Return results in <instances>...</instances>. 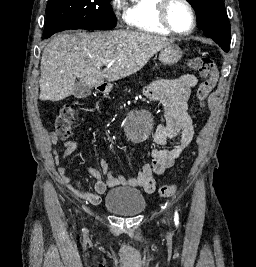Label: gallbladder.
<instances>
[{
    "label": "gallbladder",
    "instance_id": "obj_1",
    "mask_svg": "<svg viewBox=\"0 0 256 267\" xmlns=\"http://www.w3.org/2000/svg\"><path fill=\"white\" fill-rule=\"evenodd\" d=\"M92 92L91 86H85L82 82H76L74 84L73 96L75 98H87Z\"/></svg>",
    "mask_w": 256,
    "mask_h": 267
}]
</instances>
